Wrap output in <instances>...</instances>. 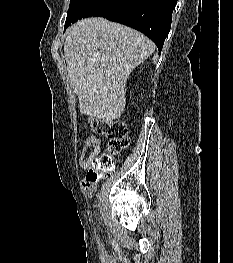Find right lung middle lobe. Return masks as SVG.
<instances>
[{"label": "right lung middle lobe", "mask_w": 233, "mask_h": 263, "mask_svg": "<svg viewBox=\"0 0 233 263\" xmlns=\"http://www.w3.org/2000/svg\"><path fill=\"white\" fill-rule=\"evenodd\" d=\"M121 2L122 0H71L64 30L82 18L107 16L111 14Z\"/></svg>", "instance_id": "1"}]
</instances>
